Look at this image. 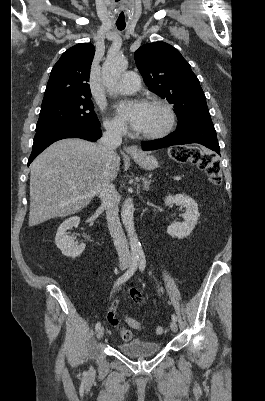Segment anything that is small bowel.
I'll return each instance as SVG.
<instances>
[{
    "mask_svg": "<svg viewBox=\"0 0 265 401\" xmlns=\"http://www.w3.org/2000/svg\"><path fill=\"white\" fill-rule=\"evenodd\" d=\"M128 293H129V295L131 296V298L132 299H134L136 302H138V303H143V299H142V296H141V293L139 292V291H137L136 289H129L128 290ZM117 301H115L114 303H113V305H112V308H111V310H110V312H109V314H112L114 317H115V320H116V323H112L109 319V322L113 325V326H119V321H118V319L116 318V316H115V310H116V307H117ZM122 339L124 340V341H129V340H131L132 339V332L131 331H129V336L127 337V338H123L122 337Z\"/></svg>",
    "mask_w": 265,
    "mask_h": 401,
    "instance_id": "1",
    "label": "small bowel"
}]
</instances>
